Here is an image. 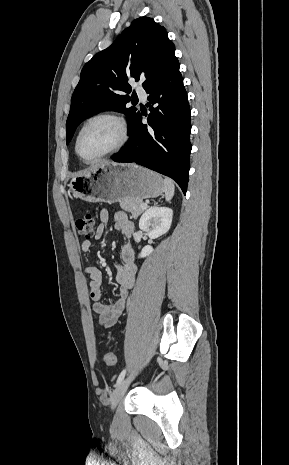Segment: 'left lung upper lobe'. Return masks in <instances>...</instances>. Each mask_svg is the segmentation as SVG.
I'll return each mask as SVG.
<instances>
[{
    "label": "left lung upper lobe",
    "instance_id": "1",
    "mask_svg": "<svg viewBox=\"0 0 289 465\" xmlns=\"http://www.w3.org/2000/svg\"><path fill=\"white\" fill-rule=\"evenodd\" d=\"M179 66L174 44L167 31L152 18L140 17L125 29L107 49L85 64L71 100L66 122V142H70L78 125L100 111L122 112L130 119L128 131L137 118L131 101L130 78L144 80L147 89Z\"/></svg>",
    "mask_w": 289,
    "mask_h": 465
}]
</instances>
